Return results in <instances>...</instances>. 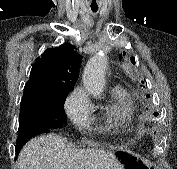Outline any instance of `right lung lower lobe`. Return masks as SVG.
<instances>
[{
	"label": "right lung lower lobe",
	"mask_w": 177,
	"mask_h": 169,
	"mask_svg": "<svg viewBox=\"0 0 177 169\" xmlns=\"http://www.w3.org/2000/svg\"><path fill=\"white\" fill-rule=\"evenodd\" d=\"M50 128L45 127L41 124H37L32 121H25L19 124L18 137L16 140V152L28 142L32 137L41 134L48 133Z\"/></svg>",
	"instance_id": "obj_1"
}]
</instances>
